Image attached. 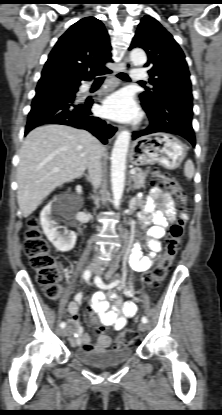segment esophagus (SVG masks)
Wrapping results in <instances>:
<instances>
[{"label": "esophagus", "instance_id": "obj_1", "mask_svg": "<svg viewBox=\"0 0 222 415\" xmlns=\"http://www.w3.org/2000/svg\"><path fill=\"white\" fill-rule=\"evenodd\" d=\"M131 67V62L128 59H125L123 62V67L122 70H127ZM121 130V127L113 124L111 122H107V126H106V136L108 138L109 141L113 140L116 135L119 133V131Z\"/></svg>", "mask_w": 222, "mask_h": 415}]
</instances>
